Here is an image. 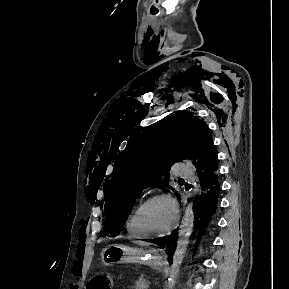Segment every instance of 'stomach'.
<instances>
[{"label":"stomach","mask_w":289,"mask_h":289,"mask_svg":"<svg viewBox=\"0 0 289 289\" xmlns=\"http://www.w3.org/2000/svg\"><path fill=\"white\" fill-rule=\"evenodd\" d=\"M101 259L106 266L116 263H143L159 267L161 266L162 257L158 252H146L138 248L112 244L102 250Z\"/></svg>","instance_id":"obj_1"}]
</instances>
